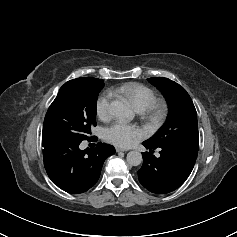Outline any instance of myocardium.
<instances>
[{
  "label": "myocardium",
  "instance_id": "obj_1",
  "mask_svg": "<svg viewBox=\"0 0 237 237\" xmlns=\"http://www.w3.org/2000/svg\"><path fill=\"white\" fill-rule=\"evenodd\" d=\"M148 111L152 114V116L159 118L164 114L165 107L161 104H154L148 109Z\"/></svg>",
  "mask_w": 237,
  "mask_h": 237
}]
</instances>
